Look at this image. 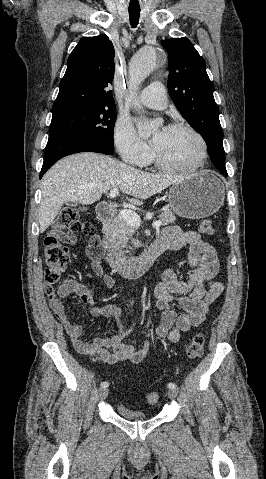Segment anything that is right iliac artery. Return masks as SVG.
Returning a JSON list of instances; mask_svg holds the SVG:
<instances>
[{
	"mask_svg": "<svg viewBox=\"0 0 266 479\" xmlns=\"http://www.w3.org/2000/svg\"><path fill=\"white\" fill-rule=\"evenodd\" d=\"M132 331V328L128 330V332H126V334L130 333ZM109 386V383L108 382H102L101 383V387L102 388H106Z\"/></svg>",
	"mask_w": 266,
	"mask_h": 479,
	"instance_id": "right-iliac-artery-1",
	"label": "right iliac artery"
}]
</instances>
